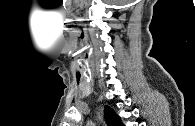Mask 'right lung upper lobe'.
Listing matches in <instances>:
<instances>
[{
    "mask_svg": "<svg viewBox=\"0 0 195 126\" xmlns=\"http://www.w3.org/2000/svg\"><path fill=\"white\" fill-rule=\"evenodd\" d=\"M105 118L111 126H123L120 117L109 106H105Z\"/></svg>",
    "mask_w": 195,
    "mask_h": 126,
    "instance_id": "cb5924a9",
    "label": "right lung upper lobe"
}]
</instances>
